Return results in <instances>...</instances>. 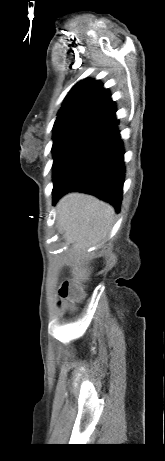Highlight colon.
<instances>
[{"label":"colon","instance_id":"colon-1","mask_svg":"<svg viewBox=\"0 0 165 461\" xmlns=\"http://www.w3.org/2000/svg\"><path fill=\"white\" fill-rule=\"evenodd\" d=\"M84 296V291L71 281H64L59 290V299L68 300L71 306L80 303Z\"/></svg>","mask_w":165,"mask_h":461}]
</instances>
